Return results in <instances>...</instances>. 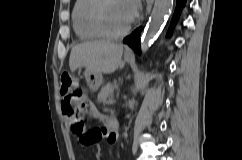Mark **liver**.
<instances>
[{
    "instance_id": "6515ba94",
    "label": "liver",
    "mask_w": 242,
    "mask_h": 160,
    "mask_svg": "<svg viewBox=\"0 0 242 160\" xmlns=\"http://www.w3.org/2000/svg\"><path fill=\"white\" fill-rule=\"evenodd\" d=\"M122 54L121 44L107 41L85 42L72 48L69 67L72 72L85 67L86 72L111 74L120 66Z\"/></svg>"
}]
</instances>
